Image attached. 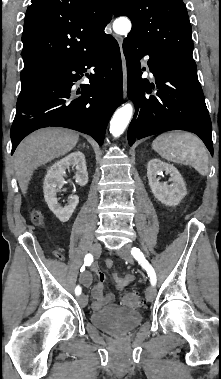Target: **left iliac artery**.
Masks as SVG:
<instances>
[{
  "label": "left iliac artery",
  "mask_w": 221,
  "mask_h": 379,
  "mask_svg": "<svg viewBox=\"0 0 221 379\" xmlns=\"http://www.w3.org/2000/svg\"><path fill=\"white\" fill-rule=\"evenodd\" d=\"M131 254L138 261L139 264L146 270L148 276L150 277V282L153 286L156 285V273L151 264L146 260L144 254L138 248H132Z\"/></svg>",
  "instance_id": "left-iliac-artery-1"
}]
</instances>
